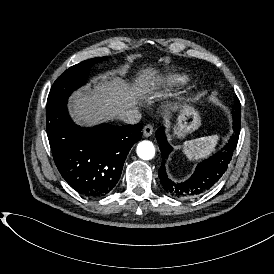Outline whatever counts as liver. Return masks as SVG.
<instances>
[{
  "label": "liver",
  "mask_w": 274,
  "mask_h": 274,
  "mask_svg": "<svg viewBox=\"0 0 274 274\" xmlns=\"http://www.w3.org/2000/svg\"><path fill=\"white\" fill-rule=\"evenodd\" d=\"M149 78L150 76H146L147 81L140 82L132 92L127 90L115 72L95 79L92 82L94 90L89 88L72 97V114L79 123H94L117 117L134 107L141 87L150 93L155 91L157 83L148 81Z\"/></svg>",
  "instance_id": "1"
}]
</instances>
